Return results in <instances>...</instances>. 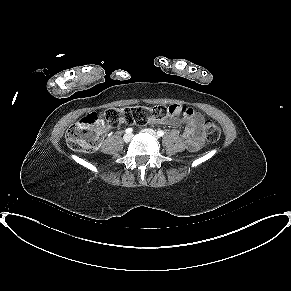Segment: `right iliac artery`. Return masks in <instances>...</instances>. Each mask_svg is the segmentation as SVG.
I'll list each match as a JSON object with an SVG mask.
<instances>
[{"mask_svg":"<svg viewBox=\"0 0 291 291\" xmlns=\"http://www.w3.org/2000/svg\"><path fill=\"white\" fill-rule=\"evenodd\" d=\"M132 131H133V129H132V128H127V129L125 130V132H126L127 134H130V133H132Z\"/></svg>","mask_w":291,"mask_h":291,"instance_id":"obj_1","label":"right iliac artery"}]
</instances>
